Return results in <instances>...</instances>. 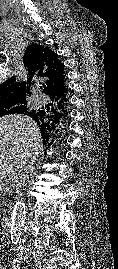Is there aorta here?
<instances>
[{
  "label": "aorta",
  "mask_w": 118,
  "mask_h": 269,
  "mask_svg": "<svg viewBox=\"0 0 118 269\" xmlns=\"http://www.w3.org/2000/svg\"><path fill=\"white\" fill-rule=\"evenodd\" d=\"M26 216V205L24 201L18 200L13 209L11 220L10 239L13 246H17L23 232Z\"/></svg>",
  "instance_id": "obj_1"
}]
</instances>
